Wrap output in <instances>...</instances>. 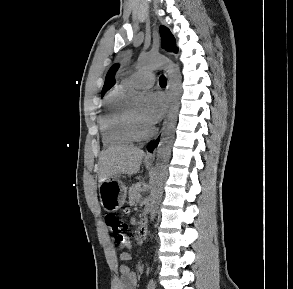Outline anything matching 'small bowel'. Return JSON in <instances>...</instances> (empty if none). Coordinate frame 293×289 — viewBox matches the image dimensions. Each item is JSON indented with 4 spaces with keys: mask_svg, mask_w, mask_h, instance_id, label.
<instances>
[{
    "mask_svg": "<svg viewBox=\"0 0 293 289\" xmlns=\"http://www.w3.org/2000/svg\"><path fill=\"white\" fill-rule=\"evenodd\" d=\"M129 239L126 242V246H130ZM119 259L123 262V264L119 267V277L115 282V289H136L138 278L135 272L132 270L130 266L125 264L126 262L131 260V254L128 251H122L119 254Z\"/></svg>",
    "mask_w": 293,
    "mask_h": 289,
    "instance_id": "obj_1",
    "label": "small bowel"
}]
</instances>
